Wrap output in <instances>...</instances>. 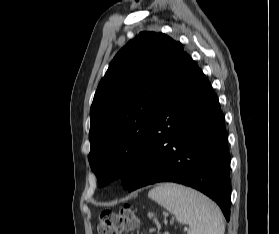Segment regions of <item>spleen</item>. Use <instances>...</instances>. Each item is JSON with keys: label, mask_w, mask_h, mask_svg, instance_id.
I'll return each instance as SVG.
<instances>
[{"label": "spleen", "mask_w": 279, "mask_h": 234, "mask_svg": "<svg viewBox=\"0 0 279 234\" xmlns=\"http://www.w3.org/2000/svg\"><path fill=\"white\" fill-rule=\"evenodd\" d=\"M148 196L173 213L180 223L188 224L187 234L225 232L219 207L194 189L176 183H162L149 191Z\"/></svg>", "instance_id": "1"}]
</instances>
